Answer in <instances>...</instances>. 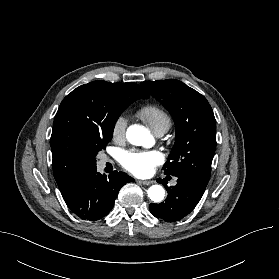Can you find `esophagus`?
<instances>
[{
  "mask_svg": "<svg viewBox=\"0 0 279 279\" xmlns=\"http://www.w3.org/2000/svg\"><path fill=\"white\" fill-rule=\"evenodd\" d=\"M139 183L143 184V185H151L154 183V181L152 180H140Z\"/></svg>",
  "mask_w": 279,
  "mask_h": 279,
  "instance_id": "obj_1",
  "label": "esophagus"
}]
</instances>
